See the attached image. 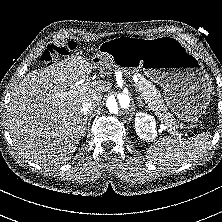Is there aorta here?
I'll return each instance as SVG.
<instances>
[{
    "mask_svg": "<svg viewBox=\"0 0 222 222\" xmlns=\"http://www.w3.org/2000/svg\"><path fill=\"white\" fill-rule=\"evenodd\" d=\"M131 99L126 94H118L117 98L114 96L108 97L106 100V107L111 114L120 115V113L130 107Z\"/></svg>",
    "mask_w": 222,
    "mask_h": 222,
    "instance_id": "1",
    "label": "aorta"
}]
</instances>
